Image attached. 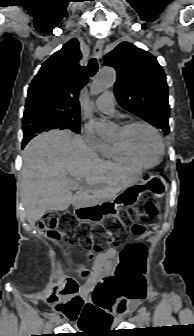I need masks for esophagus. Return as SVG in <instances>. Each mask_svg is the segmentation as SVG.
<instances>
[{"instance_id":"1","label":"esophagus","mask_w":194,"mask_h":336,"mask_svg":"<svg viewBox=\"0 0 194 336\" xmlns=\"http://www.w3.org/2000/svg\"><path fill=\"white\" fill-rule=\"evenodd\" d=\"M103 43V40H97L94 47V54L98 60L102 58Z\"/></svg>"}]
</instances>
